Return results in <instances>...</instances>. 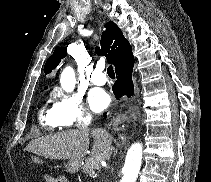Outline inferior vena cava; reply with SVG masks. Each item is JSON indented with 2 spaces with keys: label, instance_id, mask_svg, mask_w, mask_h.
<instances>
[{
  "label": "inferior vena cava",
  "instance_id": "inferior-vena-cava-1",
  "mask_svg": "<svg viewBox=\"0 0 211 182\" xmlns=\"http://www.w3.org/2000/svg\"><path fill=\"white\" fill-rule=\"evenodd\" d=\"M88 121H89V116L86 115L82 120V124L80 126V129H83V131H88V126H87Z\"/></svg>",
  "mask_w": 211,
  "mask_h": 182
}]
</instances>
